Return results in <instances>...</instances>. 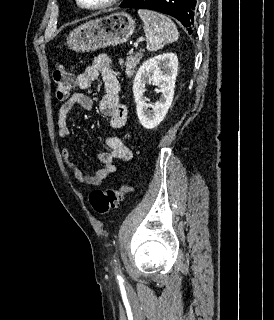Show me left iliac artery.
Here are the masks:
<instances>
[{
	"instance_id": "obj_1",
	"label": "left iliac artery",
	"mask_w": 274,
	"mask_h": 320,
	"mask_svg": "<svg viewBox=\"0 0 274 320\" xmlns=\"http://www.w3.org/2000/svg\"><path fill=\"white\" fill-rule=\"evenodd\" d=\"M117 277H118V278H121V276H120L119 274L117 275Z\"/></svg>"
}]
</instances>
